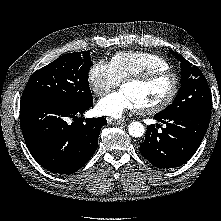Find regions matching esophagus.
Here are the masks:
<instances>
[{
    "mask_svg": "<svg viewBox=\"0 0 221 221\" xmlns=\"http://www.w3.org/2000/svg\"><path fill=\"white\" fill-rule=\"evenodd\" d=\"M123 122H124V120H116V119H113V118H107V123L110 124V125H119Z\"/></svg>",
    "mask_w": 221,
    "mask_h": 221,
    "instance_id": "34e87169",
    "label": "esophagus"
}]
</instances>
